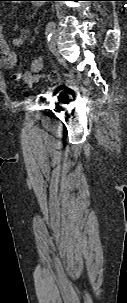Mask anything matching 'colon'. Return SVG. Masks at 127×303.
Instances as JSON below:
<instances>
[{
  "label": "colon",
  "instance_id": "1",
  "mask_svg": "<svg viewBox=\"0 0 127 303\" xmlns=\"http://www.w3.org/2000/svg\"><path fill=\"white\" fill-rule=\"evenodd\" d=\"M41 66H42V60H41V58H36L34 60V62H33V69L36 70V71H38L41 68ZM20 77H21L20 74H16V75L13 76V79L14 80H19ZM50 79H51L52 82H56L57 79H58V77H57L56 74H51L50 75Z\"/></svg>",
  "mask_w": 127,
  "mask_h": 303
}]
</instances>
